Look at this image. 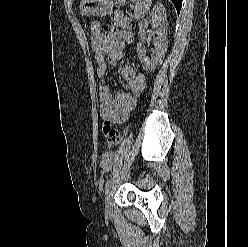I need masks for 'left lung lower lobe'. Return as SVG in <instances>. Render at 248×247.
I'll use <instances>...</instances> for the list:
<instances>
[{
  "label": "left lung lower lobe",
  "instance_id": "left-lung-lower-lobe-1",
  "mask_svg": "<svg viewBox=\"0 0 248 247\" xmlns=\"http://www.w3.org/2000/svg\"><path fill=\"white\" fill-rule=\"evenodd\" d=\"M171 1L175 5L177 12L179 13L182 6V0H171Z\"/></svg>",
  "mask_w": 248,
  "mask_h": 247
}]
</instances>
